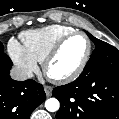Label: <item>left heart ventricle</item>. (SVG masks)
<instances>
[{
  "label": "left heart ventricle",
  "instance_id": "1",
  "mask_svg": "<svg viewBox=\"0 0 119 119\" xmlns=\"http://www.w3.org/2000/svg\"><path fill=\"white\" fill-rule=\"evenodd\" d=\"M87 51V42L83 36L70 38L49 66L52 76H63L72 72L82 61Z\"/></svg>",
  "mask_w": 119,
  "mask_h": 119
}]
</instances>
